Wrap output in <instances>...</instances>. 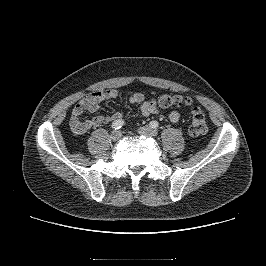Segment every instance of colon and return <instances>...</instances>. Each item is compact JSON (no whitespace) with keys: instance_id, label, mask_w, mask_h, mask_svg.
<instances>
[{"instance_id":"1","label":"colon","mask_w":266,"mask_h":266,"mask_svg":"<svg viewBox=\"0 0 266 266\" xmlns=\"http://www.w3.org/2000/svg\"><path fill=\"white\" fill-rule=\"evenodd\" d=\"M158 104L162 107H168L171 105H187L191 106L192 115L189 125V134L193 138H200L207 132V122L202 110L193 105V102L188 97H182L179 95H162L158 100Z\"/></svg>"}]
</instances>
